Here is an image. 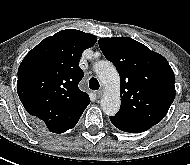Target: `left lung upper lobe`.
<instances>
[{"mask_svg":"<svg viewBox=\"0 0 190 165\" xmlns=\"http://www.w3.org/2000/svg\"><path fill=\"white\" fill-rule=\"evenodd\" d=\"M98 43L120 75L121 107L115 117L138 125L159 123L175 98V75L167 60L129 37Z\"/></svg>","mask_w":190,"mask_h":165,"instance_id":"1","label":"left lung upper lobe"}]
</instances>
